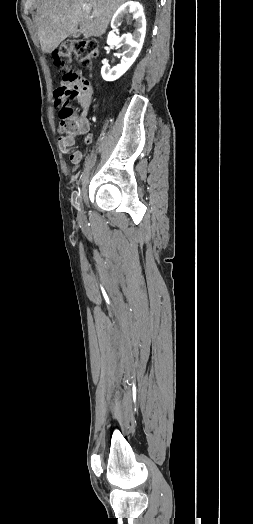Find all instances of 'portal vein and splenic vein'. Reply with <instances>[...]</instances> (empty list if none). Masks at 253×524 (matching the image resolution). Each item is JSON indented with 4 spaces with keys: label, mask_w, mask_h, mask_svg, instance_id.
<instances>
[{
    "label": "portal vein and splenic vein",
    "mask_w": 253,
    "mask_h": 524,
    "mask_svg": "<svg viewBox=\"0 0 253 524\" xmlns=\"http://www.w3.org/2000/svg\"><path fill=\"white\" fill-rule=\"evenodd\" d=\"M84 9H85V11L88 12V13L91 12V7H90V5H85V6H84ZM93 14H94V15H97L98 13H97V12H93Z\"/></svg>",
    "instance_id": "portal-vein-and-splenic-vein-1"
}]
</instances>
